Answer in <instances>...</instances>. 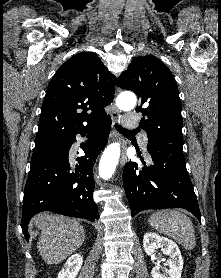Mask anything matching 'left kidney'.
Returning a JSON list of instances; mask_svg holds the SVG:
<instances>
[{"label":"left kidney","instance_id":"5707ae66","mask_svg":"<svg viewBox=\"0 0 221 278\" xmlns=\"http://www.w3.org/2000/svg\"><path fill=\"white\" fill-rule=\"evenodd\" d=\"M143 247L149 256H154L157 248H161L164 254L170 256L169 261H167L170 269L162 274L160 272L161 267L155 266L151 271L152 278H181L183 259L178 245L174 241L156 233H146L143 238Z\"/></svg>","mask_w":221,"mask_h":278}]
</instances>
